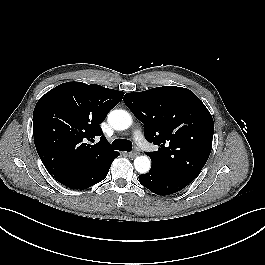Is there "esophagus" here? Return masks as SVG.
<instances>
[{"label": "esophagus", "mask_w": 265, "mask_h": 265, "mask_svg": "<svg viewBox=\"0 0 265 265\" xmlns=\"http://www.w3.org/2000/svg\"><path fill=\"white\" fill-rule=\"evenodd\" d=\"M127 155L131 158L136 157L138 155V153L136 151L133 152H128Z\"/></svg>", "instance_id": "34e87169"}]
</instances>
